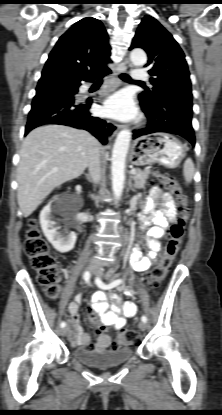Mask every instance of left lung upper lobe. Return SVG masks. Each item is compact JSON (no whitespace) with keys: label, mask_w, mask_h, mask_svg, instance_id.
I'll use <instances>...</instances> for the list:
<instances>
[{"label":"left lung upper lobe","mask_w":222,"mask_h":415,"mask_svg":"<svg viewBox=\"0 0 222 415\" xmlns=\"http://www.w3.org/2000/svg\"><path fill=\"white\" fill-rule=\"evenodd\" d=\"M142 48L148 55L149 74L152 90L146 89L140 95V101L146 104L155 103L159 86L166 81H190V73L185 55L173 36L153 17L146 15L139 24L130 49ZM169 111L179 106L177 99L169 102ZM168 109V108H167ZM163 113V110H161Z\"/></svg>","instance_id":"1"}]
</instances>
